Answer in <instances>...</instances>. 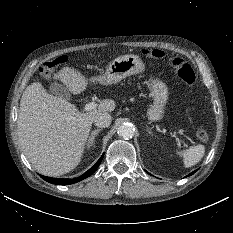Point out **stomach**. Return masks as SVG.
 Masks as SVG:
<instances>
[{"label":"stomach","instance_id":"obj_1","mask_svg":"<svg viewBox=\"0 0 233 233\" xmlns=\"http://www.w3.org/2000/svg\"><path fill=\"white\" fill-rule=\"evenodd\" d=\"M144 68V63L138 55H122L112 60L104 74L93 78V81L103 85L115 84L127 76L143 72ZM148 89L153 102L149 105L147 117L152 122L160 121L169 98L168 87L159 79L151 78Z\"/></svg>","mask_w":233,"mask_h":233}]
</instances>
